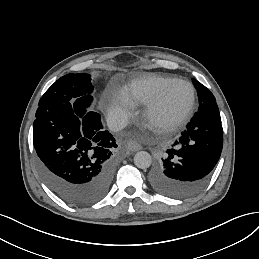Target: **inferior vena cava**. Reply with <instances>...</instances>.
Here are the masks:
<instances>
[{"instance_id":"obj_1","label":"inferior vena cava","mask_w":259,"mask_h":259,"mask_svg":"<svg viewBox=\"0 0 259 259\" xmlns=\"http://www.w3.org/2000/svg\"><path fill=\"white\" fill-rule=\"evenodd\" d=\"M128 124V120L125 116L117 113H112L107 118L108 128L113 132H118L125 128Z\"/></svg>"}]
</instances>
